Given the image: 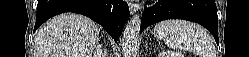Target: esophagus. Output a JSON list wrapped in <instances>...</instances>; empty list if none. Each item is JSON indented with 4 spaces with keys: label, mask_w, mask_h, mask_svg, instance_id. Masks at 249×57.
I'll list each match as a JSON object with an SVG mask.
<instances>
[{
    "label": "esophagus",
    "mask_w": 249,
    "mask_h": 57,
    "mask_svg": "<svg viewBox=\"0 0 249 57\" xmlns=\"http://www.w3.org/2000/svg\"><path fill=\"white\" fill-rule=\"evenodd\" d=\"M141 8V4L139 3H129V10L131 14H134Z\"/></svg>",
    "instance_id": "34e87169"
}]
</instances>
